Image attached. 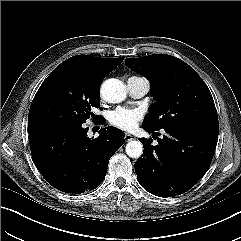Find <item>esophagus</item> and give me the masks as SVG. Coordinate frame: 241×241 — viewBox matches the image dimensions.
I'll return each mask as SVG.
<instances>
[{
    "instance_id": "1",
    "label": "esophagus",
    "mask_w": 241,
    "mask_h": 241,
    "mask_svg": "<svg viewBox=\"0 0 241 241\" xmlns=\"http://www.w3.org/2000/svg\"><path fill=\"white\" fill-rule=\"evenodd\" d=\"M124 139H125L127 142H129V141H131V140H134L135 137H134L133 135H131V134H125Z\"/></svg>"
}]
</instances>
